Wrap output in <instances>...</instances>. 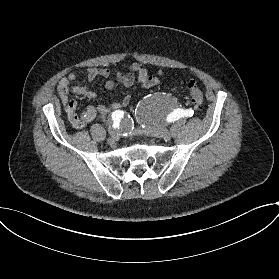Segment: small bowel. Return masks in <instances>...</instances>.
<instances>
[{
	"mask_svg": "<svg viewBox=\"0 0 279 279\" xmlns=\"http://www.w3.org/2000/svg\"><path fill=\"white\" fill-rule=\"evenodd\" d=\"M87 79L93 81L96 78L105 79V87L112 90L116 83H121L126 87L134 84L137 76L138 81L145 88H149L158 84V78L150 75L146 68L139 63H131L127 66L126 71H110L106 68H88ZM78 79V75L74 72L62 78L57 85V93L63 103L67 117L76 129H83L89 122L94 120L98 115H105L113 110L125 108L130 105L132 97L130 94L124 95L120 101L112 102L108 105H90L84 111H78V104L70 98V95L76 94L89 99L96 98L97 94L90 90L86 85L73 84Z\"/></svg>",
	"mask_w": 279,
	"mask_h": 279,
	"instance_id": "c3829d8e",
	"label": "small bowel"
}]
</instances>
